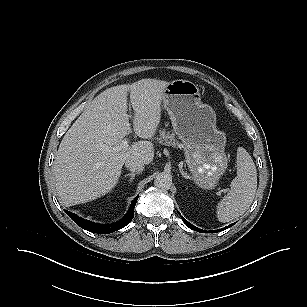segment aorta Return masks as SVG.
<instances>
[{
	"mask_svg": "<svg viewBox=\"0 0 307 307\" xmlns=\"http://www.w3.org/2000/svg\"><path fill=\"white\" fill-rule=\"evenodd\" d=\"M154 184L159 189L168 190L172 185V176L165 172L159 173L155 177Z\"/></svg>",
	"mask_w": 307,
	"mask_h": 307,
	"instance_id": "obj_1",
	"label": "aorta"
}]
</instances>
